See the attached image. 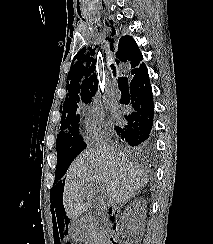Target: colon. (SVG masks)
I'll use <instances>...</instances> for the list:
<instances>
[{
	"label": "colon",
	"mask_w": 213,
	"mask_h": 244,
	"mask_svg": "<svg viewBox=\"0 0 213 244\" xmlns=\"http://www.w3.org/2000/svg\"><path fill=\"white\" fill-rule=\"evenodd\" d=\"M64 244H73V243H71V242H65Z\"/></svg>",
	"instance_id": "5ec220e1"
}]
</instances>
